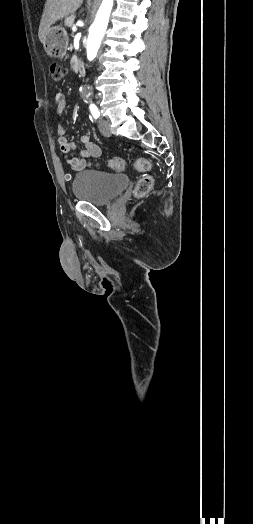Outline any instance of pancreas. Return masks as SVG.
Listing matches in <instances>:
<instances>
[{
  "label": "pancreas",
  "mask_w": 253,
  "mask_h": 524,
  "mask_svg": "<svg viewBox=\"0 0 253 524\" xmlns=\"http://www.w3.org/2000/svg\"><path fill=\"white\" fill-rule=\"evenodd\" d=\"M75 21L74 15H69L65 18V25L68 27H72Z\"/></svg>",
  "instance_id": "cf45deb5"
}]
</instances>
